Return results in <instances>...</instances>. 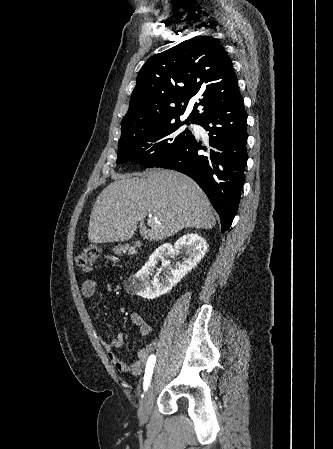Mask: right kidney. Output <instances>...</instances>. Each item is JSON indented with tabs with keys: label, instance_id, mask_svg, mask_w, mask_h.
I'll return each instance as SVG.
<instances>
[{
	"label": "right kidney",
	"instance_id": "1",
	"mask_svg": "<svg viewBox=\"0 0 333 449\" xmlns=\"http://www.w3.org/2000/svg\"><path fill=\"white\" fill-rule=\"evenodd\" d=\"M180 250H184L186 256L182 262H178L176 267L170 268L164 278L154 277L150 280V275L157 265L158 261H162V266L170 265L169 258L178 254ZM207 251V242L199 234H186L179 238L174 247L171 244H163L158 247L150 256L148 262L136 274V291L137 295L145 299H155L168 293L180 280L188 274L197 263L204 257Z\"/></svg>",
	"mask_w": 333,
	"mask_h": 449
}]
</instances>
